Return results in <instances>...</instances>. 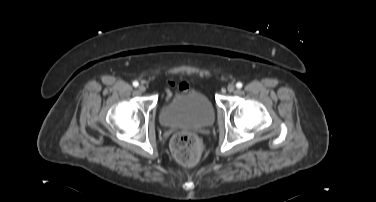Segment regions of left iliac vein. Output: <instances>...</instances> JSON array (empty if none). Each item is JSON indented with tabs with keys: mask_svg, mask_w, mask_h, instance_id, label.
<instances>
[{
	"mask_svg": "<svg viewBox=\"0 0 376 202\" xmlns=\"http://www.w3.org/2000/svg\"><path fill=\"white\" fill-rule=\"evenodd\" d=\"M228 92H233L235 90V85L234 84H229L227 87Z\"/></svg>",
	"mask_w": 376,
	"mask_h": 202,
	"instance_id": "1",
	"label": "left iliac vein"
}]
</instances>
